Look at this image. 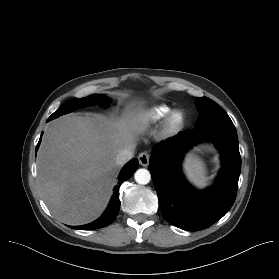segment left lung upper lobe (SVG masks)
<instances>
[{
    "instance_id": "1",
    "label": "left lung upper lobe",
    "mask_w": 279,
    "mask_h": 279,
    "mask_svg": "<svg viewBox=\"0 0 279 279\" xmlns=\"http://www.w3.org/2000/svg\"><path fill=\"white\" fill-rule=\"evenodd\" d=\"M196 105L199 111V116L195 127H201L214 123H232L228 114L213 100L207 97H197Z\"/></svg>"
}]
</instances>
